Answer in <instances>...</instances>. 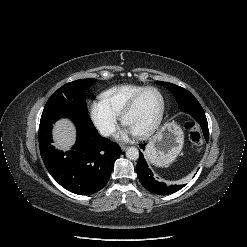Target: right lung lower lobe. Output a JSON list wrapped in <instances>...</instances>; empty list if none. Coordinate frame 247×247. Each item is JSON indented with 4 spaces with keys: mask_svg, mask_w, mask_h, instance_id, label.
Segmentation results:
<instances>
[{
    "mask_svg": "<svg viewBox=\"0 0 247 247\" xmlns=\"http://www.w3.org/2000/svg\"><path fill=\"white\" fill-rule=\"evenodd\" d=\"M62 117L72 119L77 127V141L68 152L55 149L51 144L52 124ZM39 147L51 176L78 195H90L102 189L121 154L117 143L98 134L88 112L66 104L45 105L39 125Z\"/></svg>",
    "mask_w": 247,
    "mask_h": 247,
    "instance_id": "obj_1",
    "label": "right lung lower lobe"
}]
</instances>
